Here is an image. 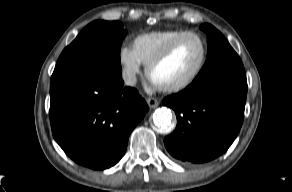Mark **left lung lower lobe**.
<instances>
[{
    "instance_id": "1",
    "label": "left lung lower lobe",
    "mask_w": 292,
    "mask_h": 192,
    "mask_svg": "<svg viewBox=\"0 0 292 192\" xmlns=\"http://www.w3.org/2000/svg\"><path fill=\"white\" fill-rule=\"evenodd\" d=\"M247 94L245 74L193 81L163 104L177 116L175 131L164 139L167 151L183 162L203 163L222 155L238 135Z\"/></svg>"
}]
</instances>
